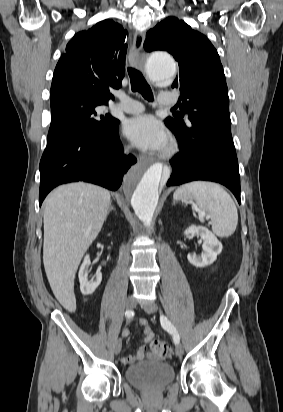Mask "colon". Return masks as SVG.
<instances>
[{"label": "colon", "mask_w": 283, "mask_h": 412, "mask_svg": "<svg viewBox=\"0 0 283 412\" xmlns=\"http://www.w3.org/2000/svg\"><path fill=\"white\" fill-rule=\"evenodd\" d=\"M151 350L155 357L165 358L171 354L170 346L161 340H153L151 342Z\"/></svg>", "instance_id": "obj_1"}]
</instances>
